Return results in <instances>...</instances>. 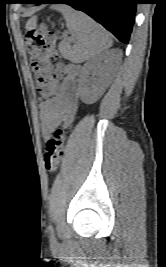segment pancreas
Instances as JSON below:
<instances>
[{
	"label": "pancreas",
	"mask_w": 166,
	"mask_h": 267,
	"mask_svg": "<svg viewBox=\"0 0 166 267\" xmlns=\"http://www.w3.org/2000/svg\"><path fill=\"white\" fill-rule=\"evenodd\" d=\"M59 50L63 56L67 57L68 52L70 50V45L67 41H63L59 44Z\"/></svg>",
	"instance_id": "pancreas-1"
}]
</instances>
